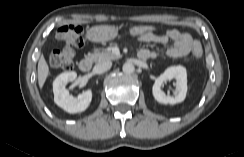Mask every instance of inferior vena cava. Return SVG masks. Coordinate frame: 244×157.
Segmentation results:
<instances>
[{"instance_id":"1","label":"inferior vena cava","mask_w":244,"mask_h":157,"mask_svg":"<svg viewBox=\"0 0 244 157\" xmlns=\"http://www.w3.org/2000/svg\"><path fill=\"white\" fill-rule=\"evenodd\" d=\"M112 66V62L109 60H105V61H101L98 62L95 66H94V72L101 74L106 72L107 70H109Z\"/></svg>"}]
</instances>
